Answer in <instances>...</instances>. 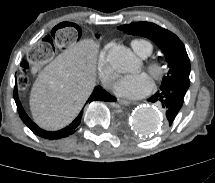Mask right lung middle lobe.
I'll use <instances>...</instances> for the list:
<instances>
[{
	"label": "right lung middle lobe",
	"mask_w": 215,
	"mask_h": 183,
	"mask_svg": "<svg viewBox=\"0 0 215 183\" xmlns=\"http://www.w3.org/2000/svg\"><path fill=\"white\" fill-rule=\"evenodd\" d=\"M67 25H69V24H67ZM58 27H60L59 25L55 28V30L58 28ZM97 37H99V36H97Z\"/></svg>",
	"instance_id": "dd1d6c3e"
}]
</instances>
